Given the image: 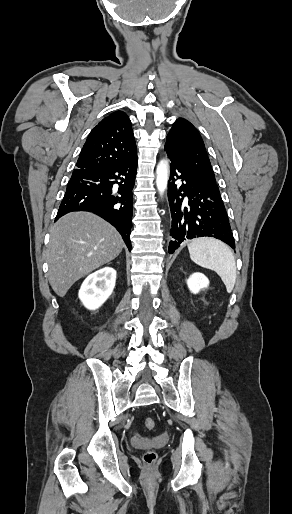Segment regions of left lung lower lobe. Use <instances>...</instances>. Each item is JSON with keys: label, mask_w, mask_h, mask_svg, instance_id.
Listing matches in <instances>:
<instances>
[{"label": "left lung lower lobe", "mask_w": 292, "mask_h": 514, "mask_svg": "<svg viewBox=\"0 0 292 514\" xmlns=\"http://www.w3.org/2000/svg\"><path fill=\"white\" fill-rule=\"evenodd\" d=\"M170 164L168 200L172 224L169 253L172 254L186 239L214 237L235 249L227 212L218 185L190 172L165 149ZM177 180H182L176 185Z\"/></svg>", "instance_id": "obj_1"}]
</instances>
